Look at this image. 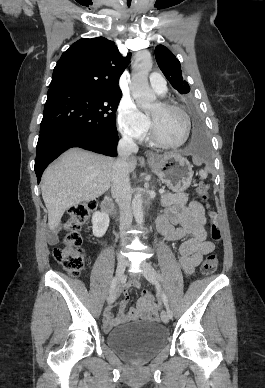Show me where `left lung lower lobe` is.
I'll use <instances>...</instances> for the list:
<instances>
[{"instance_id":"obj_1","label":"left lung lower lobe","mask_w":265,"mask_h":388,"mask_svg":"<svg viewBox=\"0 0 265 388\" xmlns=\"http://www.w3.org/2000/svg\"><path fill=\"white\" fill-rule=\"evenodd\" d=\"M193 123L188 149L198 157L207 158L209 155V143L200 117L196 113L193 114Z\"/></svg>"}]
</instances>
